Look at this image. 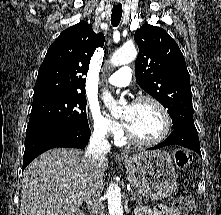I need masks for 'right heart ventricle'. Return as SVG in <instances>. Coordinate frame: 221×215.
<instances>
[{
	"label": "right heart ventricle",
	"instance_id": "1",
	"mask_svg": "<svg viewBox=\"0 0 221 215\" xmlns=\"http://www.w3.org/2000/svg\"><path fill=\"white\" fill-rule=\"evenodd\" d=\"M123 141H124L123 137L120 136V137L118 138V143H122Z\"/></svg>",
	"mask_w": 221,
	"mask_h": 215
}]
</instances>
